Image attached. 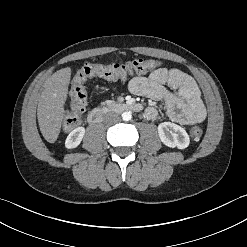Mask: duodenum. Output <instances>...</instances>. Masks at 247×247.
I'll use <instances>...</instances> for the list:
<instances>
[{
    "label": "duodenum",
    "instance_id": "obj_1",
    "mask_svg": "<svg viewBox=\"0 0 247 247\" xmlns=\"http://www.w3.org/2000/svg\"><path fill=\"white\" fill-rule=\"evenodd\" d=\"M142 110V106L138 103L132 102H124V103H113L107 104L102 107H98L93 109L87 116V121L90 124L100 123L103 119V116L108 111H134L140 112Z\"/></svg>",
    "mask_w": 247,
    "mask_h": 247
}]
</instances>
